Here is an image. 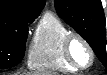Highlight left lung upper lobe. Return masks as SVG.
<instances>
[{
    "mask_svg": "<svg viewBox=\"0 0 107 75\" xmlns=\"http://www.w3.org/2000/svg\"><path fill=\"white\" fill-rule=\"evenodd\" d=\"M55 9L92 47L107 67L106 20L100 0H54Z\"/></svg>",
    "mask_w": 107,
    "mask_h": 75,
    "instance_id": "5c2ea615",
    "label": "left lung upper lobe"
}]
</instances>
